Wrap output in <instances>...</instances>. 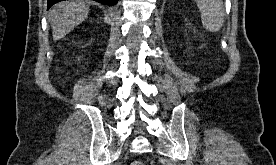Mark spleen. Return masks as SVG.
<instances>
[{
    "instance_id": "1",
    "label": "spleen",
    "mask_w": 276,
    "mask_h": 165,
    "mask_svg": "<svg viewBox=\"0 0 276 165\" xmlns=\"http://www.w3.org/2000/svg\"><path fill=\"white\" fill-rule=\"evenodd\" d=\"M201 13L203 26L210 32H218L224 23L225 10L222 0H195Z\"/></svg>"
}]
</instances>
